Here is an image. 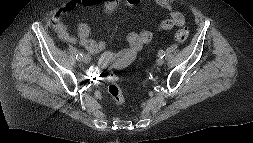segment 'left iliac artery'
<instances>
[{
	"mask_svg": "<svg viewBox=\"0 0 253 143\" xmlns=\"http://www.w3.org/2000/svg\"><path fill=\"white\" fill-rule=\"evenodd\" d=\"M158 56H159L160 58H163V57L165 56V52H164L163 50H160V51L158 52Z\"/></svg>",
	"mask_w": 253,
	"mask_h": 143,
	"instance_id": "44dca946",
	"label": "left iliac artery"
}]
</instances>
